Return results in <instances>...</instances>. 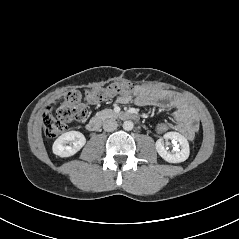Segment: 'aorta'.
<instances>
[{
    "label": "aorta",
    "instance_id": "1",
    "mask_svg": "<svg viewBox=\"0 0 239 239\" xmlns=\"http://www.w3.org/2000/svg\"><path fill=\"white\" fill-rule=\"evenodd\" d=\"M133 127H134V124H133V122L130 121V120L125 121V122L123 123V129L126 130V131L132 130Z\"/></svg>",
    "mask_w": 239,
    "mask_h": 239
}]
</instances>
